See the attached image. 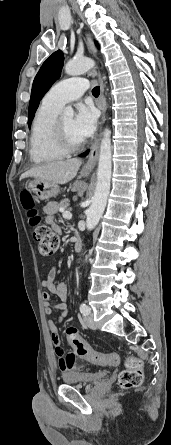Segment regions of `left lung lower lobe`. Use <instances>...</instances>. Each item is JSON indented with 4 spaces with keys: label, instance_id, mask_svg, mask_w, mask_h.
Masks as SVG:
<instances>
[{
    "label": "left lung lower lobe",
    "instance_id": "obj_1",
    "mask_svg": "<svg viewBox=\"0 0 171 445\" xmlns=\"http://www.w3.org/2000/svg\"><path fill=\"white\" fill-rule=\"evenodd\" d=\"M88 152H89V151H86V152H84L83 154H81L80 156H81V157L86 156V155L88 154Z\"/></svg>",
    "mask_w": 171,
    "mask_h": 445
}]
</instances>
